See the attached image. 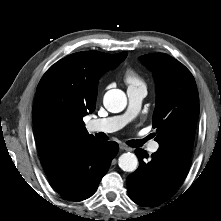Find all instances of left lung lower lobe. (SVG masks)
Listing matches in <instances>:
<instances>
[{"instance_id": "0a47b994", "label": "left lung lower lobe", "mask_w": 221, "mask_h": 221, "mask_svg": "<svg viewBox=\"0 0 221 221\" xmlns=\"http://www.w3.org/2000/svg\"><path fill=\"white\" fill-rule=\"evenodd\" d=\"M138 169L127 177L129 197L142 206L155 207L167 201L183 182L191 161L175 151L159 148L149 157L145 150L136 149Z\"/></svg>"}]
</instances>
